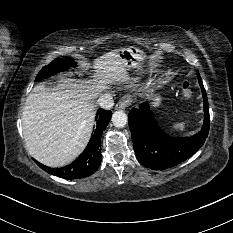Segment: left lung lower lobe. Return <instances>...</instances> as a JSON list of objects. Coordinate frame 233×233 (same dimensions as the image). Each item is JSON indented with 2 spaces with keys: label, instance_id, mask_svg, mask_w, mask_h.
Wrapping results in <instances>:
<instances>
[{
  "label": "left lung lower lobe",
  "instance_id": "left-lung-lower-lobe-1",
  "mask_svg": "<svg viewBox=\"0 0 233 233\" xmlns=\"http://www.w3.org/2000/svg\"><path fill=\"white\" fill-rule=\"evenodd\" d=\"M198 81L204 98V124L201 131L192 137L168 136L157 125L147 103L129 112L133 148L142 164L154 170L167 169L190 158L202 147L208 136L210 117L206 91L199 74Z\"/></svg>",
  "mask_w": 233,
  "mask_h": 233
}]
</instances>
